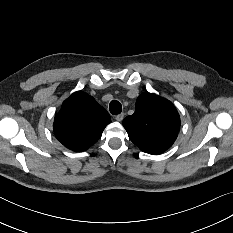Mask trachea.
<instances>
[{
  "mask_svg": "<svg viewBox=\"0 0 233 233\" xmlns=\"http://www.w3.org/2000/svg\"><path fill=\"white\" fill-rule=\"evenodd\" d=\"M109 110L113 115L120 114L122 111V106L119 101L112 100L109 104Z\"/></svg>",
  "mask_w": 233,
  "mask_h": 233,
  "instance_id": "obj_1",
  "label": "trachea"
}]
</instances>
